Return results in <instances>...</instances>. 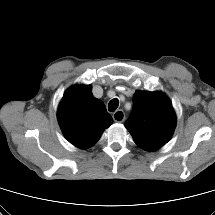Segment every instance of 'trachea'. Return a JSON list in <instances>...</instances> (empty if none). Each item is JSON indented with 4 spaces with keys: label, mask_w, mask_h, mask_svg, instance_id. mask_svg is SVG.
<instances>
[{
    "label": "trachea",
    "mask_w": 215,
    "mask_h": 215,
    "mask_svg": "<svg viewBox=\"0 0 215 215\" xmlns=\"http://www.w3.org/2000/svg\"><path fill=\"white\" fill-rule=\"evenodd\" d=\"M118 105H119L118 99H116V98L112 99L108 104V110L110 112H114L117 109Z\"/></svg>",
    "instance_id": "3493384b"
}]
</instances>
